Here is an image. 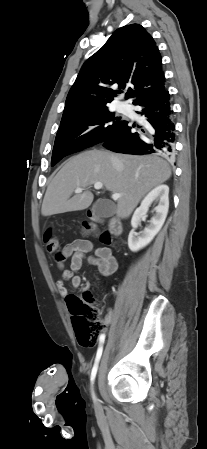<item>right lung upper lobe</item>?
<instances>
[{
    "mask_svg": "<svg viewBox=\"0 0 207 449\" xmlns=\"http://www.w3.org/2000/svg\"><path fill=\"white\" fill-rule=\"evenodd\" d=\"M161 55L139 24L119 28L83 64L65 103L62 119L107 108L122 92L134 102L165 90ZM118 86L119 90L113 89Z\"/></svg>",
    "mask_w": 207,
    "mask_h": 449,
    "instance_id": "obj_1",
    "label": "right lung upper lobe"
}]
</instances>
